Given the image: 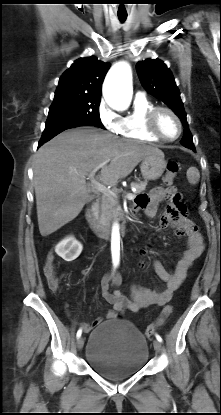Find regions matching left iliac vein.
I'll return each mask as SVG.
<instances>
[{"mask_svg":"<svg viewBox=\"0 0 221 415\" xmlns=\"http://www.w3.org/2000/svg\"><path fill=\"white\" fill-rule=\"evenodd\" d=\"M153 345H154V349H155V351H156L157 353H159V352L161 351V349H162L161 342H160V341H158V340H154V341H153Z\"/></svg>","mask_w":221,"mask_h":415,"instance_id":"left-iliac-vein-1","label":"left iliac vein"}]
</instances>
